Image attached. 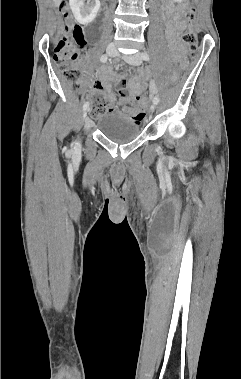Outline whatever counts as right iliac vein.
Wrapping results in <instances>:
<instances>
[{"label": "right iliac vein", "instance_id": "63e3f726", "mask_svg": "<svg viewBox=\"0 0 241 379\" xmlns=\"http://www.w3.org/2000/svg\"><path fill=\"white\" fill-rule=\"evenodd\" d=\"M106 52L109 56H116L117 54V50H116V47L114 44H109L106 48ZM89 109H86L83 113V119L85 121V127L86 128H89L90 127V121L87 119V113H88Z\"/></svg>", "mask_w": 241, "mask_h": 379}]
</instances>
